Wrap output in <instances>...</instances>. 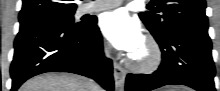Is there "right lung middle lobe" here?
<instances>
[{
  "instance_id": "right-lung-middle-lobe-1",
  "label": "right lung middle lobe",
  "mask_w": 220,
  "mask_h": 91,
  "mask_svg": "<svg viewBox=\"0 0 220 91\" xmlns=\"http://www.w3.org/2000/svg\"><path fill=\"white\" fill-rule=\"evenodd\" d=\"M76 7H73L69 10H64V11H59V12H53L50 13L44 17H51L57 21H60L62 23L69 24L70 26L73 27H79L83 25L84 23L79 22V23H74V12H75Z\"/></svg>"
}]
</instances>
